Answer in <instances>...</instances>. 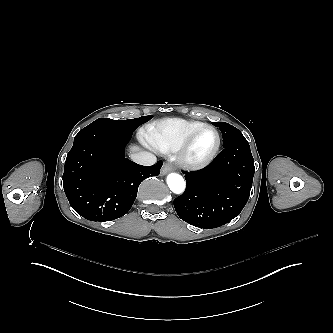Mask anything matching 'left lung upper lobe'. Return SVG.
I'll use <instances>...</instances> for the list:
<instances>
[{
  "mask_svg": "<svg viewBox=\"0 0 333 333\" xmlns=\"http://www.w3.org/2000/svg\"><path fill=\"white\" fill-rule=\"evenodd\" d=\"M213 125L219 127L223 135V147H227L239 141H245V137L234 126L225 122H213Z\"/></svg>",
  "mask_w": 333,
  "mask_h": 333,
  "instance_id": "left-lung-upper-lobe-1",
  "label": "left lung upper lobe"
}]
</instances>
